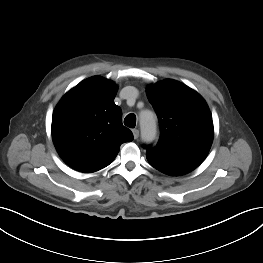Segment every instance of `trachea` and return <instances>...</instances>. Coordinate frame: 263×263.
<instances>
[{
    "instance_id": "1",
    "label": "trachea",
    "mask_w": 263,
    "mask_h": 263,
    "mask_svg": "<svg viewBox=\"0 0 263 263\" xmlns=\"http://www.w3.org/2000/svg\"><path fill=\"white\" fill-rule=\"evenodd\" d=\"M124 124L129 128H134L136 125V116L135 114L131 113L128 114L124 119Z\"/></svg>"
}]
</instances>
